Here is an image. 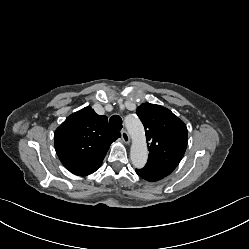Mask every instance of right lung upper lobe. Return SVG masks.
<instances>
[{
	"instance_id": "cb5924a9",
	"label": "right lung upper lobe",
	"mask_w": 249,
	"mask_h": 249,
	"mask_svg": "<svg viewBox=\"0 0 249 249\" xmlns=\"http://www.w3.org/2000/svg\"><path fill=\"white\" fill-rule=\"evenodd\" d=\"M120 136V132L109 126L105 115L85 107L56 129L55 150L67 170L86 176L101 166L110 145Z\"/></svg>"
}]
</instances>
